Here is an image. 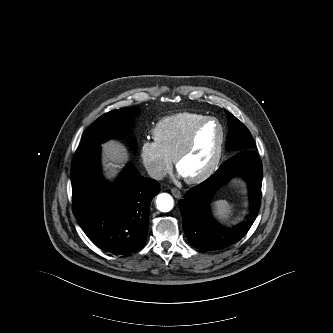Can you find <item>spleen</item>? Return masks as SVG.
I'll return each mask as SVG.
<instances>
[{
	"instance_id": "1",
	"label": "spleen",
	"mask_w": 333,
	"mask_h": 333,
	"mask_svg": "<svg viewBox=\"0 0 333 333\" xmlns=\"http://www.w3.org/2000/svg\"><path fill=\"white\" fill-rule=\"evenodd\" d=\"M215 214L223 221L228 220L233 213V205L226 200H217L213 203Z\"/></svg>"
}]
</instances>
